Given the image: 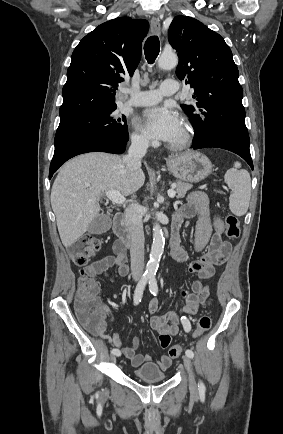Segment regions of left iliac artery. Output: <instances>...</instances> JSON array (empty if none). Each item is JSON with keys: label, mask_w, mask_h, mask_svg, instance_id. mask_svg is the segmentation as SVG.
<instances>
[{"label": "left iliac artery", "mask_w": 283, "mask_h": 434, "mask_svg": "<svg viewBox=\"0 0 283 434\" xmlns=\"http://www.w3.org/2000/svg\"><path fill=\"white\" fill-rule=\"evenodd\" d=\"M149 290H150L151 294H153L154 296L157 295V293H158V286H157V281H156L155 277H150L149 278ZM182 324L184 326L185 331H189L190 330L191 325H190L189 320L186 317L182 318ZM185 354L188 357H190V358L194 357V353L190 349H187L185 351ZM198 388H199L200 392H204L205 391V385H204V383L202 381L199 382Z\"/></svg>", "instance_id": "left-iliac-artery-1"}]
</instances>
